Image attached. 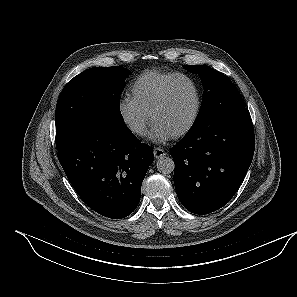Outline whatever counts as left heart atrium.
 I'll use <instances>...</instances> for the list:
<instances>
[{
	"label": "left heart atrium",
	"mask_w": 297,
	"mask_h": 297,
	"mask_svg": "<svg viewBox=\"0 0 297 297\" xmlns=\"http://www.w3.org/2000/svg\"><path fill=\"white\" fill-rule=\"evenodd\" d=\"M149 137L156 142H165L170 139L171 135L158 125L152 124Z\"/></svg>",
	"instance_id": "39dd6f15"
}]
</instances>
